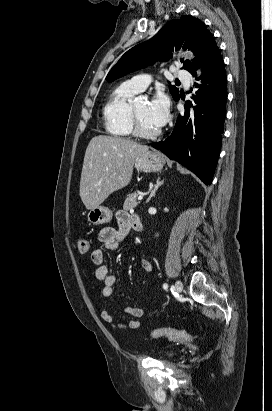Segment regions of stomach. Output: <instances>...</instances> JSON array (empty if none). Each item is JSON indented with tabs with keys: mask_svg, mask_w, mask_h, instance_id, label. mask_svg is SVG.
Listing matches in <instances>:
<instances>
[{
	"mask_svg": "<svg viewBox=\"0 0 272 411\" xmlns=\"http://www.w3.org/2000/svg\"><path fill=\"white\" fill-rule=\"evenodd\" d=\"M134 164L138 171L157 172L163 168L165 159L159 152L147 151L136 158ZM112 215L109 208L98 206L89 211L88 221L93 225H101L110 222Z\"/></svg>",
	"mask_w": 272,
	"mask_h": 411,
	"instance_id": "0dacf381",
	"label": "stomach"
}]
</instances>
